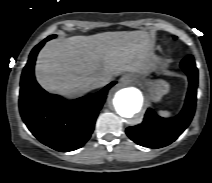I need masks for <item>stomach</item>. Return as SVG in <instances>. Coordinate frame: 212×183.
<instances>
[{
  "mask_svg": "<svg viewBox=\"0 0 212 183\" xmlns=\"http://www.w3.org/2000/svg\"><path fill=\"white\" fill-rule=\"evenodd\" d=\"M147 86L150 97L154 102H158L169 91V85L163 80L147 82Z\"/></svg>",
  "mask_w": 212,
  "mask_h": 183,
  "instance_id": "0dacf381",
  "label": "stomach"
}]
</instances>
